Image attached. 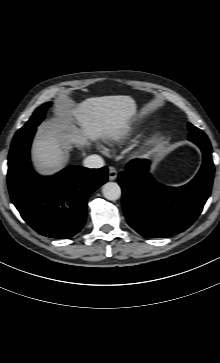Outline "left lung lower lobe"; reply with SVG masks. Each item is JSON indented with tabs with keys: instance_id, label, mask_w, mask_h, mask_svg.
<instances>
[{
	"instance_id": "0a47b994",
	"label": "left lung lower lobe",
	"mask_w": 220,
	"mask_h": 363,
	"mask_svg": "<svg viewBox=\"0 0 220 363\" xmlns=\"http://www.w3.org/2000/svg\"><path fill=\"white\" fill-rule=\"evenodd\" d=\"M203 153L196 177L181 187H165L148 174V162L134 159L119 173L122 206L128 224L148 238L169 237L186 230L200 215L210 196L214 175L209 140L189 139Z\"/></svg>"
}]
</instances>
